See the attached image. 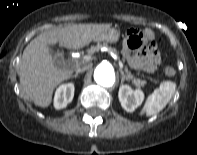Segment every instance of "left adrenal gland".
Segmentation results:
<instances>
[{"instance_id": "1", "label": "left adrenal gland", "mask_w": 197, "mask_h": 155, "mask_svg": "<svg viewBox=\"0 0 197 155\" xmlns=\"http://www.w3.org/2000/svg\"><path fill=\"white\" fill-rule=\"evenodd\" d=\"M120 73H121V83L124 82V80H128L127 76L124 74V71L120 68L119 69Z\"/></svg>"}]
</instances>
